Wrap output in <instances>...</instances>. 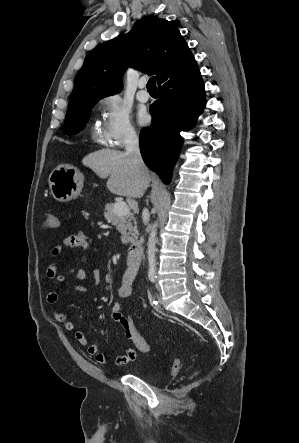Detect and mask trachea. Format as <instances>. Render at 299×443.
I'll return each instance as SVG.
<instances>
[{"instance_id":"trachea-1","label":"trachea","mask_w":299,"mask_h":443,"mask_svg":"<svg viewBox=\"0 0 299 443\" xmlns=\"http://www.w3.org/2000/svg\"><path fill=\"white\" fill-rule=\"evenodd\" d=\"M147 90L149 92H157L156 80L155 77L152 76L147 82Z\"/></svg>"}]
</instances>
